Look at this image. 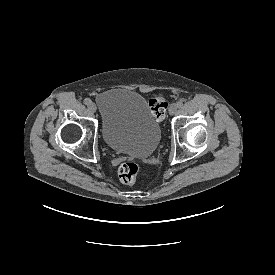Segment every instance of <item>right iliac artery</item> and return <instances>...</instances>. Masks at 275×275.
Segmentation results:
<instances>
[{"label": "right iliac artery", "instance_id": "1", "mask_svg": "<svg viewBox=\"0 0 275 275\" xmlns=\"http://www.w3.org/2000/svg\"><path fill=\"white\" fill-rule=\"evenodd\" d=\"M91 103L92 101L89 98L84 99V104H86L87 106H89Z\"/></svg>", "mask_w": 275, "mask_h": 275}]
</instances>
